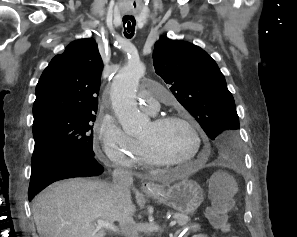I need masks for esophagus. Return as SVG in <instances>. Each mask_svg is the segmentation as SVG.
Wrapping results in <instances>:
<instances>
[{
	"instance_id": "obj_1",
	"label": "esophagus",
	"mask_w": 297,
	"mask_h": 237,
	"mask_svg": "<svg viewBox=\"0 0 297 237\" xmlns=\"http://www.w3.org/2000/svg\"><path fill=\"white\" fill-rule=\"evenodd\" d=\"M141 188L144 191H154L157 189V187L150 181L143 182Z\"/></svg>"
}]
</instances>
